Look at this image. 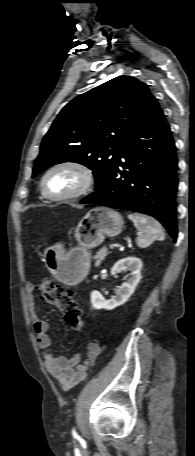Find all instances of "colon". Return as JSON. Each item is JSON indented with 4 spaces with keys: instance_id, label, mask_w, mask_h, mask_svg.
<instances>
[{
    "instance_id": "obj_1",
    "label": "colon",
    "mask_w": 195,
    "mask_h": 456,
    "mask_svg": "<svg viewBox=\"0 0 195 456\" xmlns=\"http://www.w3.org/2000/svg\"><path fill=\"white\" fill-rule=\"evenodd\" d=\"M41 299L56 306L64 316L66 323L79 331L83 326L82 310L71 291L52 279L45 278L38 286Z\"/></svg>"
}]
</instances>
